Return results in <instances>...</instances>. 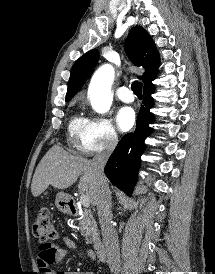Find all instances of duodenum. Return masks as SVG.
Instances as JSON below:
<instances>
[{"mask_svg":"<svg viewBox=\"0 0 215 274\" xmlns=\"http://www.w3.org/2000/svg\"><path fill=\"white\" fill-rule=\"evenodd\" d=\"M70 212L74 215L78 213V208L74 200L70 199L67 203ZM94 250L99 260L104 261L107 258V249L101 240L94 242Z\"/></svg>","mask_w":215,"mask_h":274,"instance_id":"410a0bca","label":"duodenum"}]
</instances>
